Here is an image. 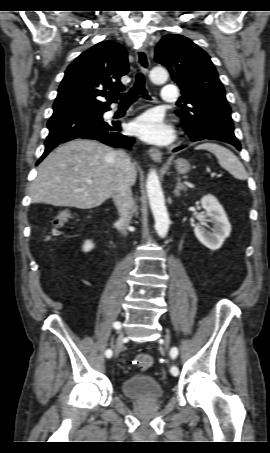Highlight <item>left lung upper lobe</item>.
Wrapping results in <instances>:
<instances>
[{
  "label": "left lung upper lobe",
  "mask_w": 270,
  "mask_h": 453,
  "mask_svg": "<svg viewBox=\"0 0 270 453\" xmlns=\"http://www.w3.org/2000/svg\"><path fill=\"white\" fill-rule=\"evenodd\" d=\"M155 61L166 66L181 88L176 114L183 126L236 138L225 90L208 54L190 39L177 34L164 36L155 48Z\"/></svg>",
  "instance_id": "5c2ea615"
}]
</instances>
